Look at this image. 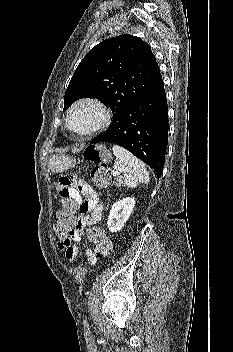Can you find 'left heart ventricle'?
<instances>
[{"label": "left heart ventricle", "instance_id": "left-heart-ventricle-1", "mask_svg": "<svg viewBox=\"0 0 233 352\" xmlns=\"http://www.w3.org/2000/svg\"><path fill=\"white\" fill-rule=\"evenodd\" d=\"M99 117L100 113L95 107L85 105L74 111L71 123L76 130L83 131L96 123Z\"/></svg>", "mask_w": 233, "mask_h": 352}]
</instances>
